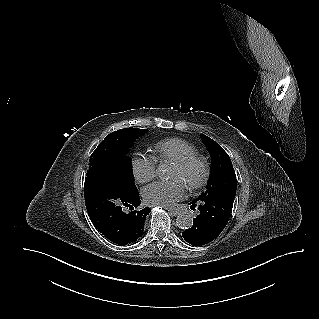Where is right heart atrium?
<instances>
[{
	"instance_id": "obj_1",
	"label": "right heart atrium",
	"mask_w": 319,
	"mask_h": 319,
	"mask_svg": "<svg viewBox=\"0 0 319 319\" xmlns=\"http://www.w3.org/2000/svg\"><path fill=\"white\" fill-rule=\"evenodd\" d=\"M157 162L151 155L134 154L131 159V170L138 183H146L156 175Z\"/></svg>"
}]
</instances>
